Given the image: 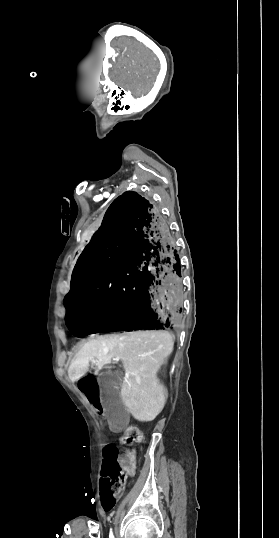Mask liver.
I'll use <instances>...</instances> for the list:
<instances>
[{
    "mask_svg": "<svg viewBox=\"0 0 279 538\" xmlns=\"http://www.w3.org/2000/svg\"><path fill=\"white\" fill-rule=\"evenodd\" d=\"M173 346L172 336L164 330L100 336L79 350L69 366V374L74 380H80L89 362L97 358L94 372L97 376L105 364H114V358H119L126 372L121 388L124 406L135 420L152 422L162 412L167 398L157 372L172 354Z\"/></svg>",
    "mask_w": 279,
    "mask_h": 538,
    "instance_id": "6515ba94",
    "label": "liver"
}]
</instances>
